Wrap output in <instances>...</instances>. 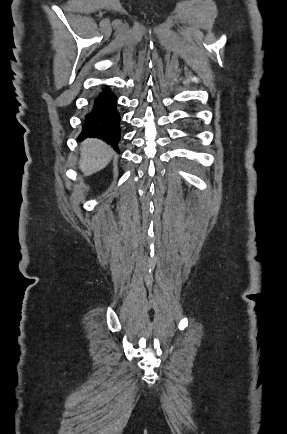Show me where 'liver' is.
I'll use <instances>...</instances> for the list:
<instances>
[{"instance_id": "obj_1", "label": "liver", "mask_w": 287, "mask_h": 434, "mask_svg": "<svg viewBox=\"0 0 287 434\" xmlns=\"http://www.w3.org/2000/svg\"><path fill=\"white\" fill-rule=\"evenodd\" d=\"M80 169L86 175H92L105 168L111 161L114 151L98 139H87L81 143Z\"/></svg>"}]
</instances>
